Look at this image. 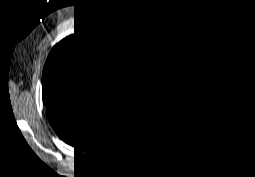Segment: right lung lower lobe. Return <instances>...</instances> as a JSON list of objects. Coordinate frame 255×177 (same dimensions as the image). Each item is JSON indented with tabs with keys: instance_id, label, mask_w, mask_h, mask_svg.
I'll return each mask as SVG.
<instances>
[{
	"instance_id": "1",
	"label": "right lung lower lobe",
	"mask_w": 255,
	"mask_h": 177,
	"mask_svg": "<svg viewBox=\"0 0 255 177\" xmlns=\"http://www.w3.org/2000/svg\"><path fill=\"white\" fill-rule=\"evenodd\" d=\"M121 108V100L99 96L51 108L49 121L66 143L87 150L99 144L109 133Z\"/></svg>"
}]
</instances>
